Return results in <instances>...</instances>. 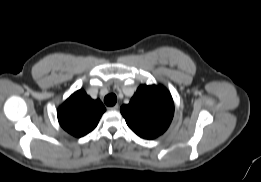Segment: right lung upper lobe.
<instances>
[{
    "instance_id": "right-lung-upper-lobe-1",
    "label": "right lung upper lobe",
    "mask_w": 261,
    "mask_h": 182,
    "mask_svg": "<svg viewBox=\"0 0 261 182\" xmlns=\"http://www.w3.org/2000/svg\"><path fill=\"white\" fill-rule=\"evenodd\" d=\"M102 102L93 100L84 90L73 93L58 109V121L62 128L75 137L92 131L105 112Z\"/></svg>"
}]
</instances>
